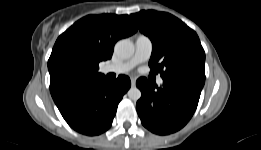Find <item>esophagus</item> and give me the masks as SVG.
Wrapping results in <instances>:
<instances>
[{
    "label": "esophagus",
    "mask_w": 261,
    "mask_h": 150,
    "mask_svg": "<svg viewBox=\"0 0 261 150\" xmlns=\"http://www.w3.org/2000/svg\"><path fill=\"white\" fill-rule=\"evenodd\" d=\"M131 85L133 87L136 85V79L135 78H131Z\"/></svg>",
    "instance_id": "obj_1"
}]
</instances>
